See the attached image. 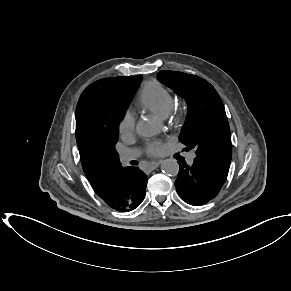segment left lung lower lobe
<instances>
[{
	"instance_id": "left-lung-lower-lobe-1",
	"label": "left lung lower lobe",
	"mask_w": 291,
	"mask_h": 291,
	"mask_svg": "<svg viewBox=\"0 0 291 291\" xmlns=\"http://www.w3.org/2000/svg\"><path fill=\"white\" fill-rule=\"evenodd\" d=\"M226 179L227 174L194 159L192 166L186 165L185 162L180 165L175 186L183 201L200 206L216 197Z\"/></svg>"
}]
</instances>
